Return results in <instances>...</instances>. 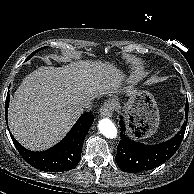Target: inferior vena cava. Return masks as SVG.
<instances>
[{
	"label": "inferior vena cava",
	"instance_id": "602c4592",
	"mask_svg": "<svg viewBox=\"0 0 194 194\" xmlns=\"http://www.w3.org/2000/svg\"><path fill=\"white\" fill-rule=\"evenodd\" d=\"M92 107V99H86L81 101L80 105H79V109L80 111H88L90 110Z\"/></svg>",
	"mask_w": 194,
	"mask_h": 194
}]
</instances>
